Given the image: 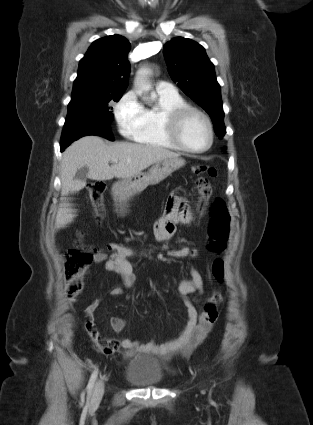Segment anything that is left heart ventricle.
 Instances as JSON below:
<instances>
[{
	"mask_svg": "<svg viewBox=\"0 0 313 425\" xmlns=\"http://www.w3.org/2000/svg\"><path fill=\"white\" fill-rule=\"evenodd\" d=\"M182 138L190 148L205 147L209 141V133L204 120L197 115L190 116L183 126Z\"/></svg>",
	"mask_w": 313,
	"mask_h": 425,
	"instance_id": "obj_1",
	"label": "left heart ventricle"
}]
</instances>
